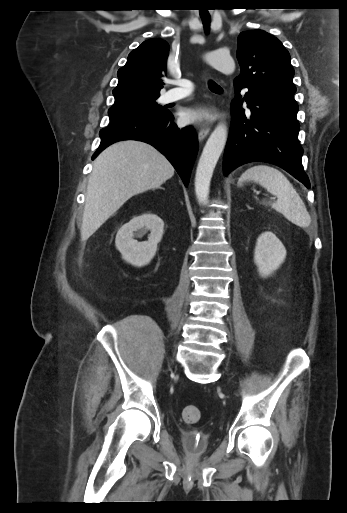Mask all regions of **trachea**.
<instances>
[{
  "label": "trachea",
  "mask_w": 347,
  "mask_h": 513,
  "mask_svg": "<svg viewBox=\"0 0 347 513\" xmlns=\"http://www.w3.org/2000/svg\"><path fill=\"white\" fill-rule=\"evenodd\" d=\"M202 22H203V26H204V29L206 31L209 30V26H210V18L209 17H202ZM209 89L214 92V93H219V92H222V88L215 82L213 81H209Z\"/></svg>",
  "instance_id": "trachea-1"
}]
</instances>
